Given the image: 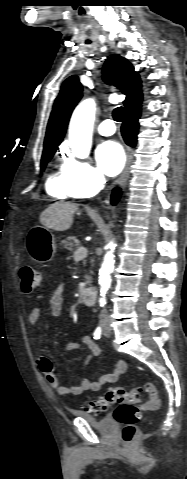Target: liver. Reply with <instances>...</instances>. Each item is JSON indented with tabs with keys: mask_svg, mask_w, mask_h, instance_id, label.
<instances>
[{
	"mask_svg": "<svg viewBox=\"0 0 187 479\" xmlns=\"http://www.w3.org/2000/svg\"><path fill=\"white\" fill-rule=\"evenodd\" d=\"M78 210V204L56 202L49 205L40 215V223L47 229L66 231L73 223V215Z\"/></svg>",
	"mask_w": 187,
	"mask_h": 479,
	"instance_id": "1",
	"label": "liver"
}]
</instances>
